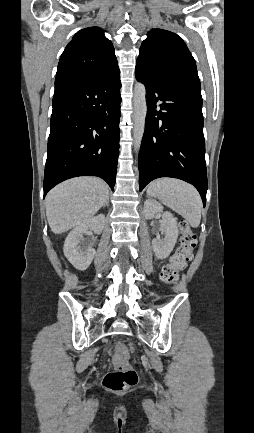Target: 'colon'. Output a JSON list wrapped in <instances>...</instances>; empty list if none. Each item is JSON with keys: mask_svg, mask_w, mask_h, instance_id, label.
<instances>
[{"mask_svg": "<svg viewBox=\"0 0 254 433\" xmlns=\"http://www.w3.org/2000/svg\"><path fill=\"white\" fill-rule=\"evenodd\" d=\"M180 229L181 236L179 245L175 253L170 257L169 262L166 263L161 270L163 281L169 284L177 280L179 271L192 259L193 252L197 245V236L187 222H181ZM124 355L125 348L120 346L116 367L107 372L102 380V384L107 390L123 392L135 386L138 381V375L135 369L120 361Z\"/></svg>", "mask_w": 254, "mask_h": 433, "instance_id": "5ec220e1", "label": "colon"}]
</instances>
